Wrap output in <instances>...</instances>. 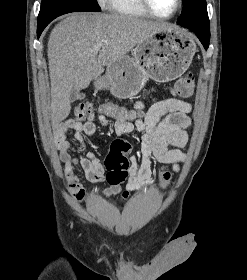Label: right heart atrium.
I'll return each mask as SVG.
<instances>
[{
	"instance_id": "1",
	"label": "right heart atrium",
	"mask_w": 247,
	"mask_h": 280,
	"mask_svg": "<svg viewBox=\"0 0 247 280\" xmlns=\"http://www.w3.org/2000/svg\"><path fill=\"white\" fill-rule=\"evenodd\" d=\"M101 5H104L107 0H97Z\"/></svg>"
}]
</instances>
